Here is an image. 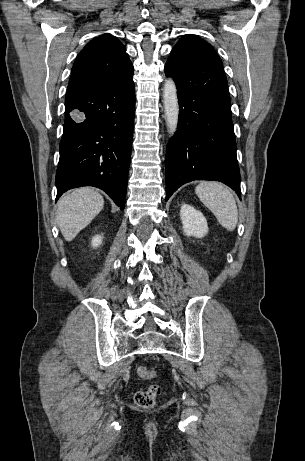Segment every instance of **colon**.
Wrapping results in <instances>:
<instances>
[{
    "label": "colon",
    "instance_id": "1",
    "mask_svg": "<svg viewBox=\"0 0 305 461\" xmlns=\"http://www.w3.org/2000/svg\"><path fill=\"white\" fill-rule=\"evenodd\" d=\"M137 374L142 379H152L155 377V371L146 367H139ZM161 394V388L158 384H151L146 389L138 391L134 396L135 404L142 409L152 408L159 395Z\"/></svg>",
    "mask_w": 305,
    "mask_h": 461
}]
</instances>
